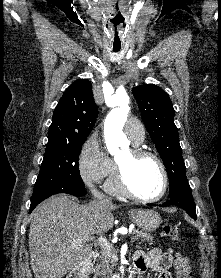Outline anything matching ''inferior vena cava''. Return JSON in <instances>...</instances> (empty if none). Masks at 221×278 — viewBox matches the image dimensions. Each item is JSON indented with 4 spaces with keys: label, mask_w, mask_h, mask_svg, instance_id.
I'll list each match as a JSON object with an SVG mask.
<instances>
[{
    "label": "inferior vena cava",
    "mask_w": 221,
    "mask_h": 278,
    "mask_svg": "<svg viewBox=\"0 0 221 278\" xmlns=\"http://www.w3.org/2000/svg\"><path fill=\"white\" fill-rule=\"evenodd\" d=\"M91 193H92V195L95 197V198H97V199H100V200H103L104 202H106V203H111V200H110V198H107L106 197V199H105V195H103L102 193H100L97 189H95L94 187H93V185H91Z\"/></svg>",
    "instance_id": "1"
}]
</instances>
